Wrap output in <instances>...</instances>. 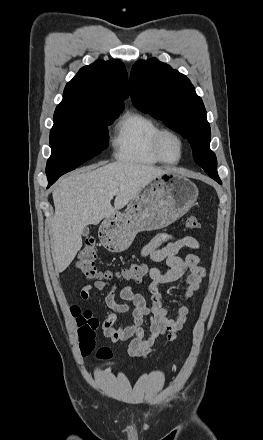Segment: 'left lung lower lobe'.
Here are the masks:
<instances>
[{"mask_svg": "<svg viewBox=\"0 0 263 440\" xmlns=\"http://www.w3.org/2000/svg\"><path fill=\"white\" fill-rule=\"evenodd\" d=\"M212 178V177H211ZM215 181H217L219 184H221V180L219 179V177H214L213 178Z\"/></svg>", "mask_w": 263, "mask_h": 440, "instance_id": "1", "label": "left lung lower lobe"}]
</instances>
